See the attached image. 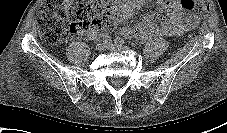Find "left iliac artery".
I'll use <instances>...</instances> for the list:
<instances>
[{
  "mask_svg": "<svg viewBox=\"0 0 227 133\" xmlns=\"http://www.w3.org/2000/svg\"><path fill=\"white\" fill-rule=\"evenodd\" d=\"M114 41H115V44H120V45L124 44V39L121 37H117Z\"/></svg>",
  "mask_w": 227,
  "mask_h": 133,
  "instance_id": "left-iliac-artery-1",
  "label": "left iliac artery"
}]
</instances>
